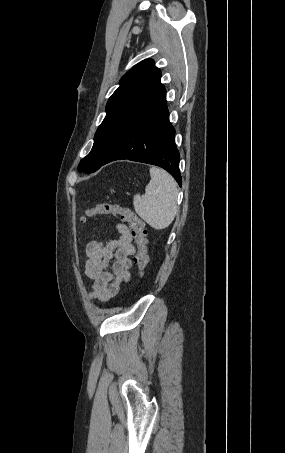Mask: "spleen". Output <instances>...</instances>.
<instances>
[{
	"instance_id": "spleen-1",
	"label": "spleen",
	"mask_w": 285,
	"mask_h": 453,
	"mask_svg": "<svg viewBox=\"0 0 285 453\" xmlns=\"http://www.w3.org/2000/svg\"><path fill=\"white\" fill-rule=\"evenodd\" d=\"M151 180L145 188V194L133 197L135 212L152 228H167L177 213V184L165 170L150 168Z\"/></svg>"
}]
</instances>
